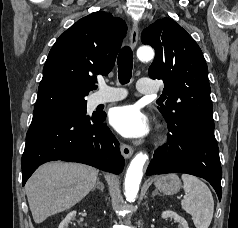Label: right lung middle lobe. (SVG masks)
Masks as SVG:
<instances>
[{
  "label": "right lung middle lobe",
  "instance_id": "right-lung-middle-lobe-1",
  "mask_svg": "<svg viewBox=\"0 0 238 228\" xmlns=\"http://www.w3.org/2000/svg\"><path fill=\"white\" fill-rule=\"evenodd\" d=\"M86 105H87V101L80 102V103H75V104H70V105H67V106L59 109L58 111H56L54 113L70 111V112L78 113V114H80L84 117H89V116H86ZM93 115H95V114H93Z\"/></svg>",
  "mask_w": 238,
  "mask_h": 228
}]
</instances>
